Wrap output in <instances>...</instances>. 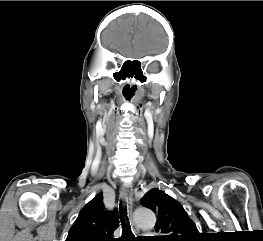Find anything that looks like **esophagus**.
<instances>
[{"instance_id": "obj_1", "label": "esophagus", "mask_w": 263, "mask_h": 241, "mask_svg": "<svg viewBox=\"0 0 263 241\" xmlns=\"http://www.w3.org/2000/svg\"><path fill=\"white\" fill-rule=\"evenodd\" d=\"M120 197L123 200V202L127 203V207H128V214H129V220L130 223L133 226V230L135 233H139L138 228L135 227L133 220H132V210H133V198L132 195L129 191V188L126 185H122L121 189H120Z\"/></svg>"}]
</instances>
